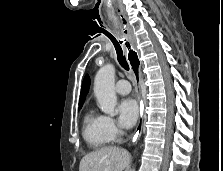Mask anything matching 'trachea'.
Segmentation results:
<instances>
[{"label": "trachea", "instance_id": "3493384b", "mask_svg": "<svg viewBox=\"0 0 223 171\" xmlns=\"http://www.w3.org/2000/svg\"><path fill=\"white\" fill-rule=\"evenodd\" d=\"M108 37L112 41V43L115 47V50H116V53H117V60H118L119 64L121 65L122 68H124L126 71H128L129 70V65H128V62L126 60L125 55H123V50H122L120 44L118 43V41L113 36H108Z\"/></svg>", "mask_w": 223, "mask_h": 171}]
</instances>
